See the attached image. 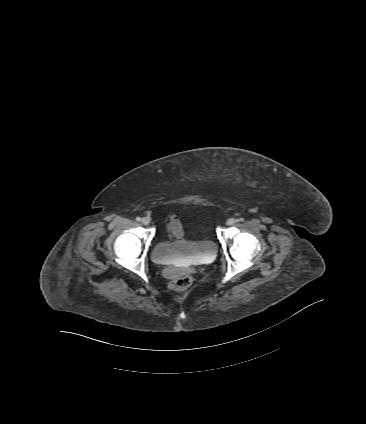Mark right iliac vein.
<instances>
[{
  "label": "right iliac vein",
  "instance_id": "obj_1",
  "mask_svg": "<svg viewBox=\"0 0 366 424\" xmlns=\"http://www.w3.org/2000/svg\"><path fill=\"white\" fill-rule=\"evenodd\" d=\"M141 222L144 225H149L150 219L148 217H143L142 220H141Z\"/></svg>",
  "mask_w": 366,
  "mask_h": 424
}]
</instances>
